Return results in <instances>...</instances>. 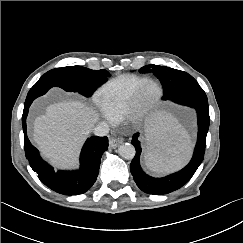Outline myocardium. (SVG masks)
I'll list each match as a JSON object with an SVG mask.
<instances>
[{
  "instance_id": "f54148a6",
  "label": "myocardium",
  "mask_w": 243,
  "mask_h": 243,
  "mask_svg": "<svg viewBox=\"0 0 243 243\" xmlns=\"http://www.w3.org/2000/svg\"><path fill=\"white\" fill-rule=\"evenodd\" d=\"M149 85H154L157 89L155 96L146 100L144 97L145 90ZM163 97V89L161 85L153 80L147 79L134 93L130 99L125 113L124 118L132 125H141L147 118L156 110L159 106Z\"/></svg>"
}]
</instances>
